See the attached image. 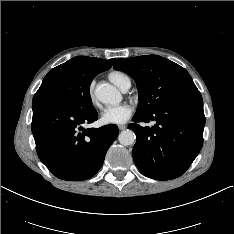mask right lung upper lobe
<instances>
[{
  "label": "right lung upper lobe",
  "mask_w": 234,
  "mask_h": 234,
  "mask_svg": "<svg viewBox=\"0 0 234 234\" xmlns=\"http://www.w3.org/2000/svg\"><path fill=\"white\" fill-rule=\"evenodd\" d=\"M71 61L76 63L77 66L83 71L91 73H100L110 69L114 62V59H110L109 61H107L95 57L77 56L72 58Z\"/></svg>",
  "instance_id": "obj_1"
}]
</instances>
